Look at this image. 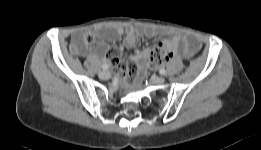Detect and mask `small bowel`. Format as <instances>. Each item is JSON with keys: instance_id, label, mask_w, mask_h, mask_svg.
<instances>
[{"instance_id": "1", "label": "small bowel", "mask_w": 261, "mask_h": 150, "mask_svg": "<svg viewBox=\"0 0 261 150\" xmlns=\"http://www.w3.org/2000/svg\"><path fill=\"white\" fill-rule=\"evenodd\" d=\"M124 33V45L127 48H133L143 37L154 38L160 35L169 34V32L165 29H160L151 25H144L131 26L126 31L122 27H117L102 35V39L96 48L97 53L111 57L120 76H124L127 73L133 79H138L141 76L140 70L145 63L148 50L137 52L132 55L130 59L124 58L120 54L112 55L108 52L109 44L114 42ZM80 37V34H75L73 40L77 42ZM165 44L174 55L182 48V52L185 56H191L200 48V43L196 39L186 38L179 34H171V37L166 40Z\"/></svg>"}]
</instances>
